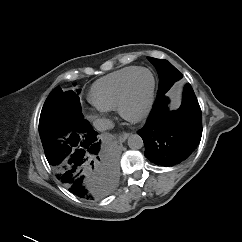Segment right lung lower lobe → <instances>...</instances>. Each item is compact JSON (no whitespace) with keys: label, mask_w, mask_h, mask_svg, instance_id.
Segmentation results:
<instances>
[{"label":"right lung lower lobe","mask_w":242,"mask_h":242,"mask_svg":"<svg viewBox=\"0 0 242 242\" xmlns=\"http://www.w3.org/2000/svg\"><path fill=\"white\" fill-rule=\"evenodd\" d=\"M97 134L89 125L50 140L44 148L57 179L84 199L103 198L116 183L113 163L101 158Z\"/></svg>","instance_id":"right-lung-lower-lobe-1"}]
</instances>
